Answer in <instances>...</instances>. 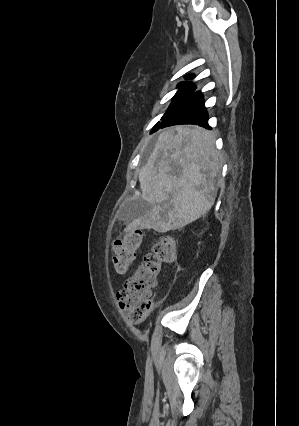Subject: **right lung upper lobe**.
Listing matches in <instances>:
<instances>
[{
	"instance_id": "1",
	"label": "right lung upper lobe",
	"mask_w": 299,
	"mask_h": 426,
	"mask_svg": "<svg viewBox=\"0 0 299 426\" xmlns=\"http://www.w3.org/2000/svg\"><path fill=\"white\" fill-rule=\"evenodd\" d=\"M193 78H194L193 75H188V76L185 77V79H193ZM179 85H182V86H193V87H195L192 82H188V81L181 82Z\"/></svg>"
}]
</instances>
